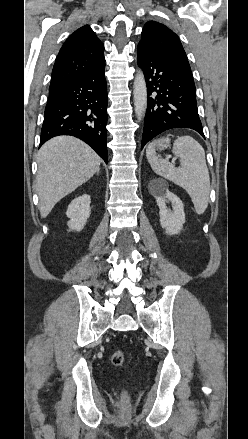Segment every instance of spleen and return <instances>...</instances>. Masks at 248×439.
<instances>
[{
	"label": "spleen",
	"instance_id": "spleen-1",
	"mask_svg": "<svg viewBox=\"0 0 248 439\" xmlns=\"http://www.w3.org/2000/svg\"><path fill=\"white\" fill-rule=\"evenodd\" d=\"M172 152L180 158L181 166L156 155L154 143L146 149L147 160L153 171L182 187L191 197L197 214L205 212L209 202L210 177L203 147L192 137L182 136L174 141Z\"/></svg>",
	"mask_w": 248,
	"mask_h": 439
}]
</instances>
